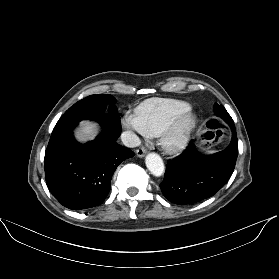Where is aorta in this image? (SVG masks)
<instances>
[{
	"label": "aorta",
	"instance_id": "1",
	"mask_svg": "<svg viewBox=\"0 0 279 279\" xmlns=\"http://www.w3.org/2000/svg\"><path fill=\"white\" fill-rule=\"evenodd\" d=\"M145 164L154 176L159 177L164 173L163 160L157 153H148L145 158Z\"/></svg>",
	"mask_w": 279,
	"mask_h": 279
}]
</instances>
